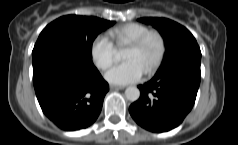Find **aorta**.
Returning a JSON list of instances; mask_svg holds the SVG:
<instances>
[{"mask_svg": "<svg viewBox=\"0 0 238 145\" xmlns=\"http://www.w3.org/2000/svg\"><path fill=\"white\" fill-rule=\"evenodd\" d=\"M122 54L119 53V56H121ZM125 97L129 100V101H136L139 99L140 97V90L135 87V86H130L127 87L125 90Z\"/></svg>", "mask_w": 238, "mask_h": 145, "instance_id": "1", "label": "aorta"}]
</instances>
